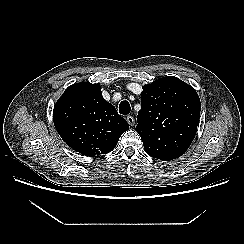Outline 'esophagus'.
<instances>
[{"label": "esophagus", "instance_id": "34e87169", "mask_svg": "<svg viewBox=\"0 0 244 244\" xmlns=\"http://www.w3.org/2000/svg\"><path fill=\"white\" fill-rule=\"evenodd\" d=\"M127 122L129 123L130 126H134L135 124V119L133 116L131 115H128L127 118H126Z\"/></svg>", "mask_w": 244, "mask_h": 244}]
</instances>
